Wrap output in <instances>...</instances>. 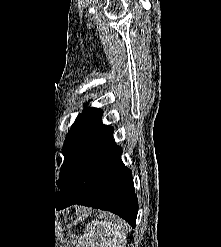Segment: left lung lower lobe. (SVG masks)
Segmentation results:
<instances>
[{"instance_id":"left-lung-lower-lobe-1","label":"left lung lower lobe","mask_w":221,"mask_h":247,"mask_svg":"<svg viewBox=\"0 0 221 247\" xmlns=\"http://www.w3.org/2000/svg\"><path fill=\"white\" fill-rule=\"evenodd\" d=\"M113 132L109 127L99 135L71 183L55 195V203L61 209L81 204L108 210L135 227L138 201L132 173L121 160Z\"/></svg>"}]
</instances>
